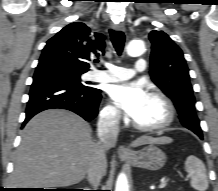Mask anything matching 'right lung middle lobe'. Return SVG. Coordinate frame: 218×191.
Segmentation results:
<instances>
[{
    "label": "right lung middle lobe",
    "mask_w": 218,
    "mask_h": 191,
    "mask_svg": "<svg viewBox=\"0 0 218 191\" xmlns=\"http://www.w3.org/2000/svg\"><path fill=\"white\" fill-rule=\"evenodd\" d=\"M47 70L54 71L65 76L76 87L85 89L91 88L84 85L80 80L81 74L85 73V71L76 69L65 61L54 56H41L35 73Z\"/></svg>",
    "instance_id": "obj_1"
}]
</instances>
